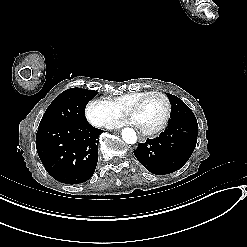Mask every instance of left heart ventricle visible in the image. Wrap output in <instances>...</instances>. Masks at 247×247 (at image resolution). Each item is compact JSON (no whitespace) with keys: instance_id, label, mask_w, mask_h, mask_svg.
Instances as JSON below:
<instances>
[{"instance_id":"obj_1","label":"left heart ventricle","mask_w":247,"mask_h":247,"mask_svg":"<svg viewBox=\"0 0 247 247\" xmlns=\"http://www.w3.org/2000/svg\"><path fill=\"white\" fill-rule=\"evenodd\" d=\"M165 112V100L158 95L150 96L142 101L139 116L134 122L143 128H154L162 122Z\"/></svg>"}]
</instances>
